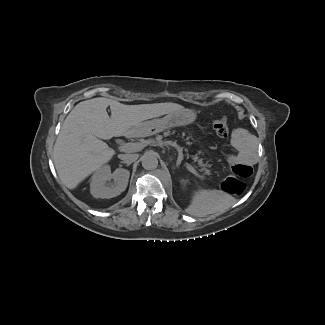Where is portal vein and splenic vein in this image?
<instances>
[{"mask_svg":"<svg viewBox=\"0 0 325 325\" xmlns=\"http://www.w3.org/2000/svg\"><path fill=\"white\" fill-rule=\"evenodd\" d=\"M150 142H147V144H149ZM143 147H144L143 143H124L119 145L118 149L122 152H134L142 149ZM186 167L190 172L196 174V170L189 163H186Z\"/></svg>","mask_w":325,"mask_h":325,"instance_id":"obj_1","label":"portal vein and splenic vein"}]
</instances>
